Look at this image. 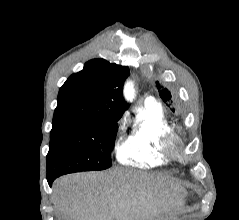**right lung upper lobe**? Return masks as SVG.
Wrapping results in <instances>:
<instances>
[{
	"instance_id": "obj_1",
	"label": "right lung upper lobe",
	"mask_w": 239,
	"mask_h": 220,
	"mask_svg": "<svg viewBox=\"0 0 239 220\" xmlns=\"http://www.w3.org/2000/svg\"><path fill=\"white\" fill-rule=\"evenodd\" d=\"M128 75L126 66L88 61L60 88L53 119L121 117L128 107L122 93Z\"/></svg>"
}]
</instances>
